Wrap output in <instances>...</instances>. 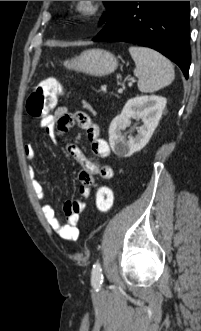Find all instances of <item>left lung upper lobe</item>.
<instances>
[{
    "instance_id": "left-lung-upper-lobe-1",
    "label": "left lung upper lobe",
    "mask_w": 201,
    "mask_h": 331,
    "mask_svg": "<svg viewBox=\"0 0 201 331\" xmlns=\"http://www.w3.org/2000/svg\"><path fill=\"white\" fill-rule=\"evenodd\" d=\"M121 1H104L106 4L108 11L103 15V17L100 20V24L104 23L107 21L117 10L119 4Z\"/></svg>"
}]
</instances>
